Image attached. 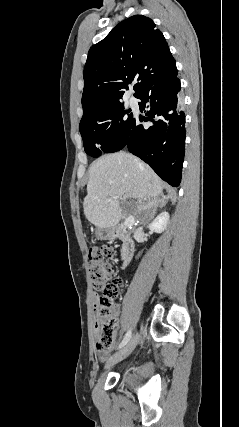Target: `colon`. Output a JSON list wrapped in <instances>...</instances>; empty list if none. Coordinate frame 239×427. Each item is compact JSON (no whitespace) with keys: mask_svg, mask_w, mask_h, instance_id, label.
Here are the masks:
<instances>
[{"mask_svg":"<svg viewBox=\"0 0 239 427\" xmlns=\"http://www.w3.org/2000/svg\"><path fill=\"white\" fill-rule=\"evenodd\" d=\"M111 247L92 248L89 251V271L93 287L102 295L95 305L98 341L96 349L106 352L111 349L116 329V313L113 307L114 300L119 295V287L122 284L116 276V270L111 260L114 257ZM108 259V260H105Z\"/></svg>","mask_w":239,"mask_h":427,"instance_id":"5ec220e1","label":"colon"}]
</instances>
